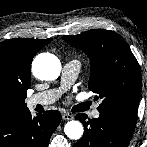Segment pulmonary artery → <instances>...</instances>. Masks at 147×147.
I'll return each mask as SVG.
<instances>
[{
    "mask_svg": "<svg viewBox=\"0 0 147 147\" xmlns=\"http://www.w3.org/2000/svg\"><path fill=\"white\" fill-rule=\"evenodd\" d=\"M80 70V63L77 60H70L63 66L61 84L59 88L50 89L36 93L27 99L28 107L32 108L36 105H48L55 102L71 85L75 82ZM98 109H94L91 113L93 118L99 117Z\"/></svg>",
    "mask_w": 147,
    "mask_h": 147,
    "instance_id": "obj_1",
    "label": "pulmonary artery"
}]
</instances>
